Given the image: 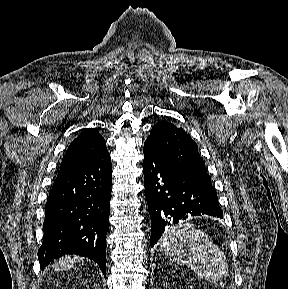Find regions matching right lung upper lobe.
I'll use <instances>...</instances> for the list:
<instances>
[{"instance_id": "obj_1", "label": "right lung upper lobe", "mask_w": 288, "mask_h": 289, "mask_svg": "<svg viewBox=\"0 0 288 289\" xmlns=\"http://www.w3.org/2000/svg\"><path fill=\"white\" fill-rule=\"evenodd\" d=\"M108 153L104 138L94 129L81 133L68 147L61 167L77 165L98 159Z\"/></svg>"}]
</instances>
